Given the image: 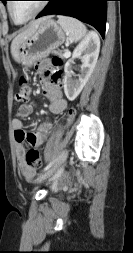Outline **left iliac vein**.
I'll use <instances>...</instances> for the list:
<instances>
[{
    "label": "left iliac vein",
    "instance_id": "1",
    "mask_svg": "<svg viewBox=\"0 0 133 253\" xmlns=\"http://www.w3.org/2000/svg\"><path fill=\"white\" fill-rule=\"evenodd\" d=\"M67 158H68V151L64 150L59 156V159L57 160V162L53 165V167L47 170L45 173H43L37 178V182H42L46 180L47 178H49L55 171H57L64 165Z\"/></svg>",
    "mask_w": 133,
    "mask_h": 253
}]
</instances>
